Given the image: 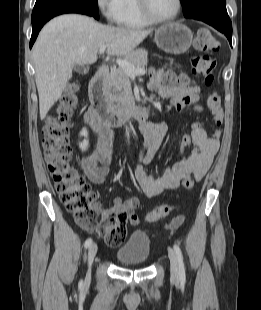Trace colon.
<instances>
[{"mask_svg":"<svg viewBox=\"0 0 261 310\" xmlns=\"http://www.w3.org/2000/svg\"><path fill=\"white\" fill-rule=\"evenodd\" d=\"M195 48L199 52L191 59L192 72L204 77V82L211 87L214 81L216 60L210 55L220 49L219 40L208 30L200 29L195 39ZM187 79L183 76L168 75V85L179 84ZM75 87L70 85L62 95L55 114L49 117L43 127V147L49 173L54 181L55 189L65 208L73 215L76 222L86 230L97 232L107 245L116 247L121 245L127 236L128 217L124 213H111L99 218L95 207V193L89 184L71 165L72 149L69 143V126L73 109L76 105ZM207 105L212 113L217 126L223 122L221 97L213 92L207 100ZM220 129H216L213 137L219 138ZM190 146L188 140L181 144L183 151ZM194 180L186 177L183 186L192 188ZM171 210L167 204L160 205L148 214V219L154 221L166 216ZM184 221L183 216H178L169 224L171 230L179 228Z\"/></svg>","mask_w":261,"mask_h":310,"instance_id":"5ec220e1","label":"colon"}]
</instances>
